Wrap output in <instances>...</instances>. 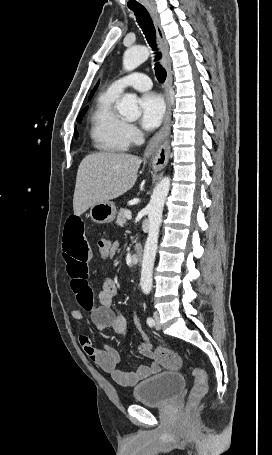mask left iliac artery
I'll return each instance as SVG.
<instances>
[{"mask_svg":"<svg viewBox=\"0 0 272 455\" xmlns=\"http://www.w3.org/2000/svg\"><path fill=\"white\" fill-rule=\"evenodd\" d=\"M146 322H147V324H148L150 327H152V326L154 325V320H153V318H151V317H148L147 320H146Z\"/></svg>","mask_w":272,"mask_h":455,"instance_id":"44dca946","label":"left iliac artery"}]
</instances>
